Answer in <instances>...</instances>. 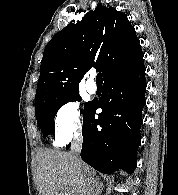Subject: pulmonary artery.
Returning a JSON list of instances; mask_svg holds the SVG:
<instances>
[{
	"label": "pulmonary artery",
	"mask_w": 178,
	"mask_h": 195,
	"mask_svg": "<svg viewBox=\"0 0 178 195\" xmlns=\"http://www.w3.org/2000/svg\"><path fill=\"white\" fill-rule=\"evenodd\" d=\"M86 90L90 94H95L97 91V85L95 82V75L91 74L86 82Z\"/></svg>",
	"instance_id": "e3ab8cb5"
}]
</instances>
